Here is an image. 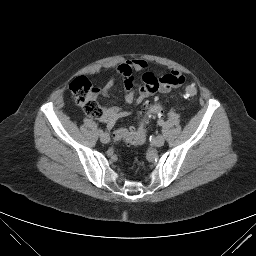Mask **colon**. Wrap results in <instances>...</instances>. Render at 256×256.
<instances>
[{
  "label": "colon",
  "instance_id": "5ec220e1",
  "mask_svg": "<svg viewBox=\"0 0 256 256\" xmlns=\"http://www.w3.org/2000/svg\"><path fill=\"white\" fill-rule=\"evenodd\" d=\"M71 96L79 104L86 115L92 118H100L103 114V109L96 100L97 89L92 83L83 76L75 78L69 85ZM197 95V88L193 85H188L184 89L186 98H194ZM162 113V106L159 102L149 103L142 116L140 127L136 131H127L119 129L115 131L113 138L115 141H124L132 145H140L146 139L145 127L147 122Z\"/></svg>",
  "mask_w": 256,
  "mask_h": 256
}]
</instances>
